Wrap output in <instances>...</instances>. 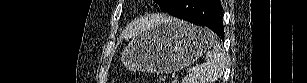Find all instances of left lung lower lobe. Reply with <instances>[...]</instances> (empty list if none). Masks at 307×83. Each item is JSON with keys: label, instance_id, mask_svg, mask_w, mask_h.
Here are the masks:
<instances>
[{"label": "left lung lower lobe", "instance_id": "left-lung-lower-lobe-1", "mask_svg": "<svg viewBox=\"0 0 307 83\" xmlns=\"http://www.w3.org/2000/svg\"><path fill=\"white\" fill-rule=\"evenodd\" d=\"M222 10L219 0H175L166 12L195 25H205L223 39Z\"/></svg>", "mask_w": 307, "mask_h": 83}]
</instances>
